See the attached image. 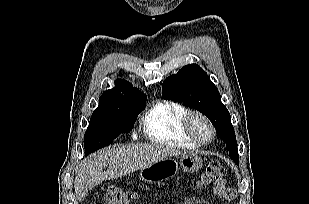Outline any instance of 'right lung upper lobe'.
Segmentation results:
<instances>
[{
	"label": "right lung upper lobe",
	"instance_id": "cb5924a9",
	"mask_svg": "<svg viewBox=\"0 0 309 204\" xmlns=\"http://www.w3.org/2000/svg\"><path fill=\"white\" fill-rule=\"evenodd\" d=\"M147 98L137 88H133L126 80L117 79L113 89L106 90L99 98V105H105L121 100H140Z\"/></svg>",
	"mask_w": 309,
	"mask_h": 204
}]
</instances>
